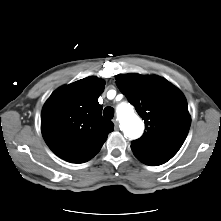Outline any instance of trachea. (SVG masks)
<instances>
[{
    "mask_svg": "<svg viewBox=\"0 0 221 221\" xmlns=\"http://www.w3.org/2000/svg\"><path fill=\"white\" fill-rule=\"evenodd\" d=\"M103 115L108 119H112L114 117V109L110 106L106 107L103 111Z\"/></svg>",
    "mask_w": 221,
    "mask_h": 221,
    "instance_id": "trachea-1",
    "label": "trachea"
}]
</instances>
